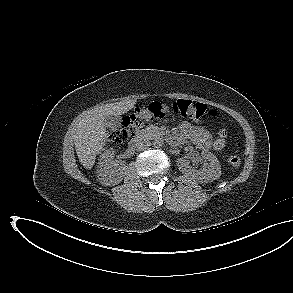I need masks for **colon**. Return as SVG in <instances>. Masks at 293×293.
Masks as SVG:
<instances>
[{
    "label": "colon",
    "mask_w": 293,
    "mask_h": 293,
    "mask_svg": "<svg viewBox=\"0 0 293 293\" xmlns=\"http://www.w3.org/2000/svg\"><path fill=\"white\" fill-rule=\"evenodd\" d=\"M206 114L211 118H215L218 115L214 110L208 111L204 104L188 99H178L172 104L155 101L145 108L136 109L133 114L125 117L120 127L112 132L111 138L116 143H123L132 139L146 121L161 119L170 115L198 120ZM226 138L227 132L225 130H220L215 136V148H223L226 144ZM229 163L233 167H238L241 163V159L237 155H232L229 157Z\"/></svg>",
    "instance_id": "colon-1"
}]
</instances>
